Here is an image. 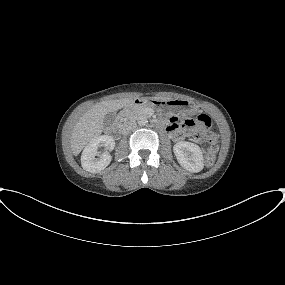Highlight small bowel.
Returning a JSON list of instances; mask_svg holds the SVG:
<instances>
[{"label": "small bowel", "instance_id": "1", "mask_svg": "<svg viewBox=\"0 0 285 285\" xmlns=\"http://www.w3.org/2000/svg\"><path fill=\"white\" fill-rule=\"evenodd\" d=\"M168 130L171 132V136L174 140L180 141L184 139L185 134L184 132L178 127L176 121L172 119L168 126Z\"/></svg>", "mask_w": 285, "mask_h": 285}]
</instances>
